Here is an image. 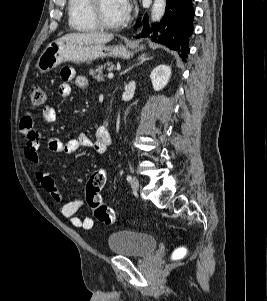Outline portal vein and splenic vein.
<instances>
[{
	"mask_svg": "<svg viewBox=\"0 0 267 301\" xmlns=\"http://www.w3.org/2000/svg\"><path fill=\"white\" fill-rule=\"evenodd\" d=\"M113 77H114L113 72H109V73H108V78H109V79H112Z\"/></svg>",
	"mask_w": 267,
	"mask_h": 301,
	"instance_id": "18ae733b",
	"label": "portal vein and splenic vein"
}]
</instances>
